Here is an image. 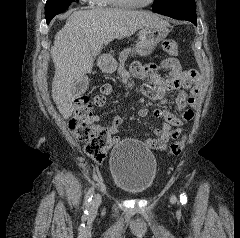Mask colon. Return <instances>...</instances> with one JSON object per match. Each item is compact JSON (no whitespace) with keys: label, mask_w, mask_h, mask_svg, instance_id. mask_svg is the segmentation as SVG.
Segmentation results:
<instances>
[{"label":"colon","mask_w":240,"mask_h":238,"mask_svg":"<svg viewBox=\"0 0 240 238\" xmlns=\"http://www.w3.org/2000/svg\"><path fill=\"white\" fill-rule=\"evenodd\" d=\"M162 48L169 55H179V47L175 41L167 39L163 41ZM92 105L86 95L77 97L74 101L73 114L68 126L71 133L79 140L86 141L85 152L95 161H101L108 146L109 136L106 130L97 127L88 121L92 114ZM179 136L174 135V139ZM185 145V138L175 141L170 147L171 155H179Z\"/></svg>","instance_id":"1"}]
</instances>
